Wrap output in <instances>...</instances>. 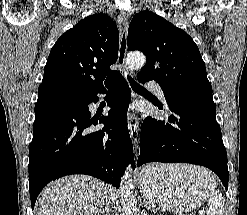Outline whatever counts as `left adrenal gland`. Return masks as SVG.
I'll return each instance as SVG.
<instances>
[{
    "label": "left adrenal gland",
    "mask_w": 247,
    "mask_h": 215,
    "mask_svg": "<svg viewBox=\"0 0 247 215\" xmlns=\"http://www.w3.org/2000/svg\"><path fill=\"white\" fill-rule=\"evenodd\" d=\"M143 202H144V207L145 208H147L148 210H152L153 211V209L151 208V206L149 205L148 201L145 198H144Z\"/></svg>",
    "instance_id": "a2214340"
}]
</instances>
